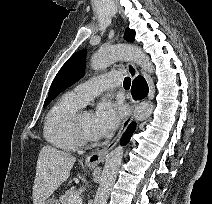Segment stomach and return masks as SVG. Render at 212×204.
<instances>
[{
	"instance_id": "obj_1",
	"label": "stomach",
	"mask_w": 212,
	"mask_h": 204,
	"mask_svg": "<svg viewBox=\"0 0 212 204\" xmlns=\"http://www.w3.org/2000/svg\"><path fill=\"white\" fill-rule=\"evenodd\" d=\"M92 168V167H89ZM43 204H59V202L55 199H47Z\"/></svg>"
}]
</instances>
